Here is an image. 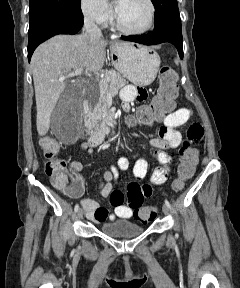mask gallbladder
<instances>
[{"label": "gallbladder", "instance_id": "1", "mask_svg": "<svg viewBox=\"0 0 240 288\" xmlns=\"http://www.w3.org/2000/svg\"><path fill=\"white\" fill-rule=\"evenodd\" d=\"M80 110V100L76 92L68 86L60 95L56 106L51 114V123L62 120L70 114H74Z\"/></svg>", "mask_w": 240, "mask_h": 288}]
</instances>
